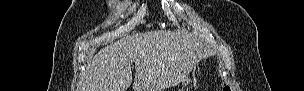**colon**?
I'll return each instance as SVG.
<instances>
[{
    "instance_id": "colon-1",
    "label": "colon",
    "mask_w": 304,
    "mask_h": 91,
    "mask_svg": "<svg viewBox=\"0 0 304 91\" xmlns=\"http://www.w3.org/2000/svg\"><path fill=\"white\" fill-rule=\"evenodd\" d=\"M227 90H229L228 87H224V88H223V91H227Z\"/></svg>"
}]
</instances>
